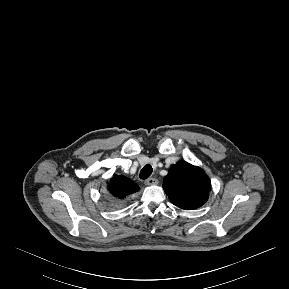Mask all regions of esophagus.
I'll list each match as a JSON object with an SVG mask.
<instances>
[{"label": "esophagus", "mask_w": 289, "mask_h": 289, "mask_svg": "<svg viewBox=\"0 0 289 289\" xmlns=\"http://www.w3.org/2000/svg\"><path fill=\"white\" fill-rule=\"evenodd\" d=\"M158 183V180L156 178L150 177L145 180L146 185H155Z\"/></svg>", "instance_id": "1"}]
</instances>
